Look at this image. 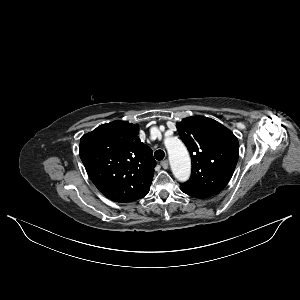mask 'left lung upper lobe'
<instances>
[{
  "label": "left lung upper lobe",
  "mask_w": 300,
  "mask_h": 300,
  "mask_svg": "<svg viewBox=\"0 0 300 300\" xmlns=\"http://www.w3.org/2000/svg\"><path fill=\"white\" fill-rule=\"evenodd\" d=\"M176 126L192 160L191 177L180 188L202 198L218 194L236 167L237 137L222 124L202 116L185 118Z\"/></svg>",
  "instance_id": "obj_1"
}]
</instances>
